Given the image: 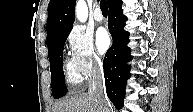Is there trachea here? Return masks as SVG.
Wrapping results in <instances>:
<instances>
[{"label":"trachea","instance_id":"trachea-1","mask_svg":"<svg viewBox=\"0 0 193 112\" xmlns=\"http://www.w3.org/2000/svg\"><path fill=\"white\" fill-rule=\"evenodd\" d=\"M100 8L103 14H107L108 11V7H107V1L106 0H102L100 2Z\"/></svg>","mask_w":193,"mask_h":112}]
</instances>
